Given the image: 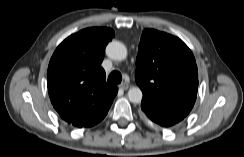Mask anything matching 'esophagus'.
<instances>
[{
    "mask_svg": "<svg viewBox=\"0 0 244 157\" xmlns=\"http://www.w3.org/2000/svg\"><path fill=\"white\" fill-rule=\"evenodd\" d=\"M119 88L122 90H127L129 88V84L124 82L119 85Z\"/></svg>",
    "mask_w": 244,
    "mask_h": 157,
    "instance_id": "1",
    "label": "esophagus"
}]
</instances>
